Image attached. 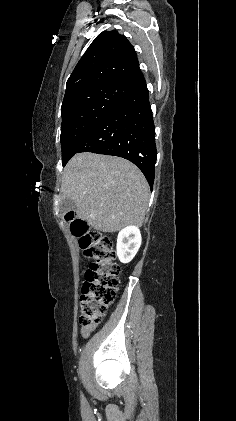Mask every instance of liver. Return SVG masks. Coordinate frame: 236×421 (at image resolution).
I'll use <instances>...</instances> for the list:
<instances>
[{
    "label": "liver",
    "mask_w": 236,
    "mask_h": 421,
    "mask_svg": "<svg viewBox=\"0 0 236 421\" xmlns=\"http://www.w3.org/2000/svg\"><path fill=\"white\" fill-rule=\"evenodd\" d=\"M61 196L77 204L76 215L102 233L142 227L149 184L130 160L109 154L77 152L67 162Z\"/></svg>",
    "instance_id": "liver-1"
}]
</instances>
